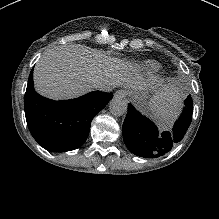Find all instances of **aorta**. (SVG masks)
Instances as JSON below:
<instances>
[{"label":"aorta","mask_w":219,"mask_h":219,"mask_svg":"<svg viewBox=\"0 0 219 219\" xmlns=\"http://www.w3.org/2000/svg\"><path fill=\"white\" fill-rule=\"evenodd\" d=\"M109 111L114 117H120L127 113V103L122 98H113L109 103Z\"/></svg>","instance_id":"762f6f07"}]
</instances>
